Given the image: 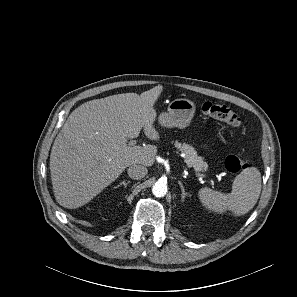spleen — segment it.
Returning a JSON list of instances; mask_svg holds the SVG:
<instances>
[{"label": "spleen", "mask_w": 297, "mask_h": 297, "mask_svg": "<svg viewBox=\"0 0 297 297\" xmlns=\"http://www.w3.org/2000/svg\"><path fill=\"white\" fill-rule=\"evenodd\" d=\"M260 193L261 173L255 167H248L235 177L231 193L224 194L205 187L199 190L198 196L202 205L210 211L223 213L230 210L241 216L255 206Z\"/></svg>", "instance_id": "obj_1"}]
</instances>
